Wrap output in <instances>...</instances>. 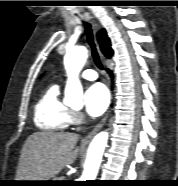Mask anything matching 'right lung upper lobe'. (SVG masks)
<instances>
[{"label":"right lung upper lobe","mask_w":178,"mask_h":186,"mask_svg":"<svg viewBox=\"0 0 178 186\" xmlns=\"http://www.w3.org/2000/svg\"><path fill=\"white\" fill-rule=\"evenodd\" d=\"M98 42L100 44L101 50L106 57L113 55V50L111 49L110 39L104 29L98 32Z\"/></svg>","instance_id":"obj_1"}]
</instances>
